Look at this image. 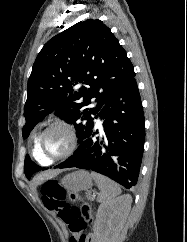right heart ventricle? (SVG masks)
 <instances>
[{"label":"right heart ventricle","instance_id":"right-heart-ventricle-1","mask_svg":"<svg viewBox=\"0 0 187 242\" xmlns=\"http://www.w3.org/2000/svg\"><path fill=\"white\" fill-rule=\"evenodd\" d=\"M39 135H36L35 139H34V145H33V155L35 157V159L42 165H48L50 162H48L39 152L38 149V138Z\"/></svg>","mask_w":187,"mask_h":242}]
</instances>
